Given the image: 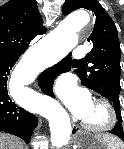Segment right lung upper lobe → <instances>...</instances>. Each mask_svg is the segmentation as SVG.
<instances>
[{"mask_svg": "<svg viewBox=\"0 0 124 149\" xmlns=\"http://www.w3.org/2000/svg\"><path fill=\"white\" fill-rule=\"evenodd\" d=\"M36 0H9L0 6V57L23 54L46 28Z\"/></svg>", "mask_w": 124, "mask_h": 149, "instance_id": "right-lung-upper-lobe-1", "label": "right lung upper lobe"}]
</instances>
